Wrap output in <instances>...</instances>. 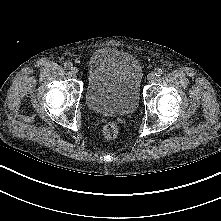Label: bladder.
Masks as SVG:
<instances>
[{"mask_svg": "<svg viewBox=\"0 0 221 221\" xmlns=\"http://www.w3.org/2000/svg\"><path fill=\"white\" fill-rule=\"evenodd\" d=\"M142 77L139 60L129 52L116 48L96 50L88 62L85 92L88 108L108 116L134 112Z\"/></svg>", "mask_w": 221, "mask_h": 221, "instance_id": "1", "label": "bladder"}]
</instances>
